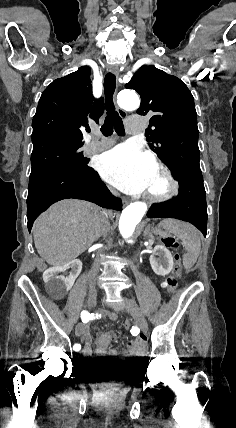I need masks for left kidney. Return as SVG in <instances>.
Here are the masks:
<instances>
[{"mask_svg": "<svg viewBox=\"0 0 236 428\" xmlns=\"http://www.w3.org/2000/svg\"><path fill=\"white\" fill-rule=\"evenodd\" d=\"M149 262L157 276H168L173 268V258L165 246H155Z\"/></svg>", "mask_w": 236, "mask_h": 428, "instance_id": "left-kidney-1", "label": "left kidney"}]
</instances>
